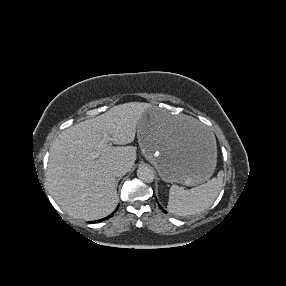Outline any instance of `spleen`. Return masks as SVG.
<instances>
[{
    "label": "spleen",
    "instance_id": "spleen-1",
    "mask_svg": "<svg viewBox=\"0 0 286 286\" xmlns=\"http://www.w3.org/2000/svg\"><path fill=\"white\" fill-rule=\"evenodd\" d=\"M222 183L223 172L220 171L217 177L190 190L172 185L169 189L167 209L179 216L201 213L213 204L222 189Z\"/></svg>",
    "mask_w": 286,
    "mask_h": 286
}]
</instances>
